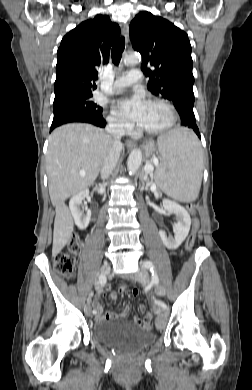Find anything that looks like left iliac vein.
<instances>
[{
  "label": "left iliac vein",
  "instance_id": "4c4485c4",
  "mask_svg": "<svg viewBox=\"0 0 252 390\" xmlns=\"http://www.w3.org/2000/svg\"><path fill=\"white\" fill-rule=\"evenodd\" d=\"M135 279L138 282L142 283V284H147L149 282V275H148L147 270L142 267L135 274ZM156 291L160 295H164L165 294V289L162 286H160V285L157 287ZM153 311H154L155 314L158 315L160 320H161V317L166 314V311L163 310L158 304H154L153 305Z\"/></svg>",
  "mask_w": 252,
  "mask_h": 390
}]
</instances>
